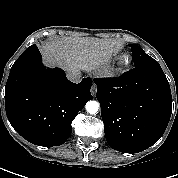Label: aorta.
Wrapping results in <instances>:
<instances>
[{
  "instance_id": "obj_1",
  "label": "aorta",
  "mask_w": 178,
  "mask_h": 178,
  "mask_svg": "<svg viewBox=\"0 0 178 178\" xmlns=\"http://www.w3.org/2000/svg\"><path fill=\"white\" fill-rule=\"evenodd\" d=\"M99 109V103L97 101H89L86 104V110L90 114H96Z\"/></svg>"
}]
</instances>
